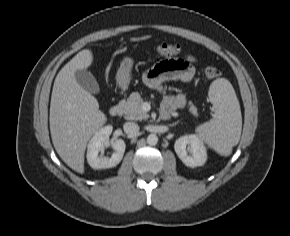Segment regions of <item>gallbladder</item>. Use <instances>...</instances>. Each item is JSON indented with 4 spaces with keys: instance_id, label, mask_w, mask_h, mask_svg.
I'll return each mask as SVG.
<instances>
[{
    "instance_id": "1",
    "label": "gallbladder",
    "mask_w": 290,
    "mask_h": 236,
    "mask_svg": "<svg viewBox=\"0 0 290 236\" xmlns=\"http://www.w3.org/2000/svg\"><path fill=\"white\" fill-rule=\"evenodd\" d=\"M75 78L77 83L92 94H98L100 87L95 77L86 70H77L75 72Z\"/></svg>"
}]
</instances>
